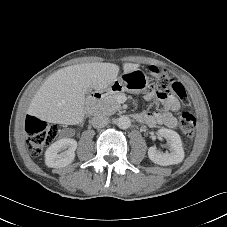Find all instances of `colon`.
I'll list each match as a JSON object with an SVG mask.
<instances>
[{
  "label": "colon",
  "mask_w": 227,
  "mask_h": 227,
  "mask_svg": "<svg viewBox=\"0 0 227 227\" xmlns=\"http://www.w3.org/2000/svg\"><path fill=\"white\" fill-rule=\"evenodd\" d=\"M152 72L156 77V89L171 90L181 99L185 106L190 105V100L181 83L174 81L165 71L152 68ZM179 123L180 129L186 137H194L196 120L192 113L188 111L183 112L180 115ZM25 128L28 134V151L33 157L39 156L43 148L54 142L59 133V129L56 125L47 123L35 116H27Z\"/></svg>",
  "instance_id": "1"
}]
</instances>
